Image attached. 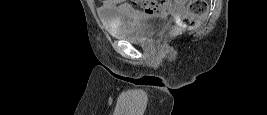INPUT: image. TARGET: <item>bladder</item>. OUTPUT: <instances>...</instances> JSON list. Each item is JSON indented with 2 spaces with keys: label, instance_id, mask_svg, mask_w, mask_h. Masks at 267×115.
Segmentation results:
<instances>
[{
  "label": "bladder",
  "instance_id": "1",
  "mask_svg": "<svg viewBox=\"0 0 267 115\" xmlns=\"http://www.w3.org/2000/svg\"><path fill=\"white\" fill-rule=\"evenodd\" d=\"M170 18L163 14H143L134 23L108 25V32L119 39L133 43L145 42L163 31L169 24Z\"/></svg>",
  "mask_w": 267,
  "mask_h": 115
}]
</instances>
